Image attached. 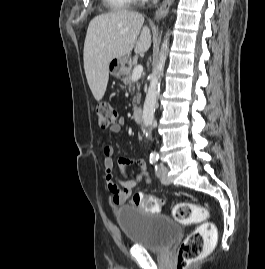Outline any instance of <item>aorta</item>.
Instances as JSON below:
<instances>
[{
  "instance_id": "762f6f07",
  "label": "aorta",
  "mask_w": 265,
  "mask_h": 269,
  "mask_svg": "<svg viewBox=\"0 0 265 269\" xmlns=\"http://www.w3.org/2000/svg\"><path fill=\"white\" fill-rule=\"evenodd\" d=\"M168 37L169 33L166 35L161 45L159 60L156 65V68L154 69L153 73L150 76V84L143 106L142 123L147 130H150L154 120V112L160 88V79L164 72L165 62L168 54V48H169Z\"/></svg>"
}]
</instances>
